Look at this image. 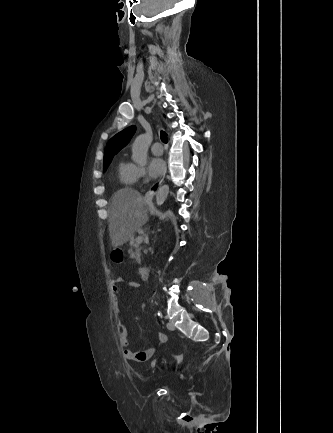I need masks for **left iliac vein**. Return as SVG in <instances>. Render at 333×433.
<instances>
[{
    "label": "left iliac vein",
    "mask_w": 333,
    "mask_h": 433,
    "mask_svg": "<svg viewBox=\"0 0 333 433\" xmlns=\"http://www.w3.org/2000/svg\"><path fill=\"white\" fill-rule=\"evenodd\" d=\"M167 328H168L169 330H174V329H175V326H174V324H173L172 322H168V323H167Z\"/></svg>",
    "instance_id": "1"
}]
</instances>
